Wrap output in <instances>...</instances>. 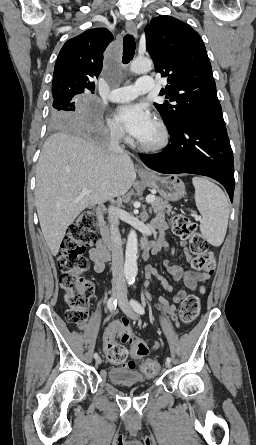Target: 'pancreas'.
<instances>
[{
  "instance_id": "obj_1",
  "label": "pancreas",
  "mask_w": 256,
  "mask_h": 445,
  "mask_svg": "<svg viewBox=\"0 0 256 445\" xmlns=\"http://www.w3.org/2000/svg\"><path fill=\"white\" fill-rule=\"evenodd\" d=\"M154 201L152 202V206L155 209V212L157 213L158 216L163 217L164 213L166 212L168 215L173 214V212L171 211L172 207L164 200H162L159 197H154ZM104 228V230H107V227L105 226V223L102 222L101 224Z\"/></svg>"
}]
</instances>
